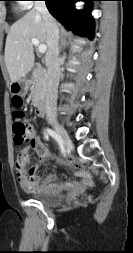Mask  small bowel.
<instances>
[{"label": "small bowel", "instance_id": "c3829d8e", "mask_svg": "<svg viewBox=\"0 0 133 253\" xmlns=\"http://www.w3.org/2000/svg\"><path fill=\"white\" fill-rule=\"evenodd\" d=\"M31 149H34L38 156L43 160H46L51 156L50 150L44 145L39 136H33L29 144L20 149L19 154L25 156ZM37 169L38 167L35 166L27 172L23 166L19 164L16 165V178L20 187L24 191L35 193L46 188V182H43L36 174ZM77 176L81 180L80 183L75 186L77 189L83 186L92 185V177L87 170L81 169L77 171Z\"/></svg>", "mask_w": 133, "mask_h": 253}]
</instances>
